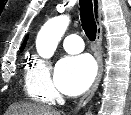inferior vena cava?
<instances>
[{"label": "inferior vena cava", "instance_id": "obj_1", "mask_svg": "<svg viewBox=\"0 0 131 115\" xmlns=\"http://www.w3.org/2000/svg\"><path fill=\"white\" fill-rule=\"evenodd\" d=\"M57 103L58 104H60V105H63L64 103H65V100L63 99V97L62 96H57Z\"/></svg>", "mask_w": 131, "mask_h": 115}]
</instances>
